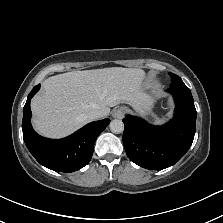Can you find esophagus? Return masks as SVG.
I'll return each instance as SVG.
<instances>
[{"mask_svg":"<svg viewBox=\"0 0 223 223\" xmlns=\"http://www.w3.org/2000/svg\"><path fill=\"white\" fill-rule=\"evenodd\" d=\"M125 113H126V109L124 107H120V108H116V109L113 110L112 116L114 118L121 119V118L124 117Z\"/></svg>","mask_w":223,"mask_h":223,"instance_id":"obj_1","label":"esophagus"}]
</instances>
